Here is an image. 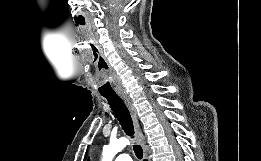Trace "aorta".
<instances>
[{
	"mask_svg": "<svg viewBox=\"0 0 261 161\" xmlns=\"http://www.w3.org/2000/svg\"><path fill=\"white\" fill-rule=\"evenodd\" d=\"M128 144H129L128 139L124 137L110 141L108 145H105L103 147L102 161H112L115 155Z\"/></svg>",
	"mask_w": 261,
	"mask_h": 161,
	"instance_id": "obj_1",
	"label": "aorta"
}]
</instances>
